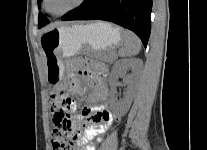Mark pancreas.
Masks as SVG:
<instances>
[{
    "instance_id": "pancreas-1",
    "label": "pancreas",
    "mask_w": 207,
    "mask_h": 150,
    "mask_svg": "<svg viewBox=\"0 0 207 150\" xmlns=\"http://www.w3.org/2000/svg\"><path fill=\"white\" fill-rule=\"evenodd\" d=\"M99 59L108 62V63H113L115 60V53L114 52H108L104 54H100L98 56Z\"/></svg>"
}]
</instances>
